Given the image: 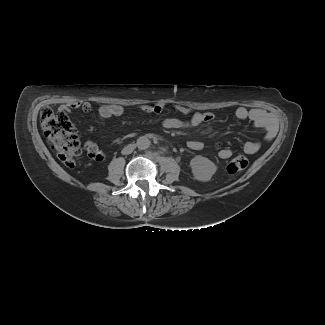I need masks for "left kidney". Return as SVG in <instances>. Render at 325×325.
I'll use <instances>...</instances> for the list:
<instances>
[{"instance_id": "5707ae66", "label": "left kidney", "mask_w": 325, "mask_h": 325, "mask_svg": "<svg viewBox=\"0 0 325 325\" xmlns=\"http://www.w3.org/2000/svg\"><path fill=\"white\" fill-rule=\"evenodd\" d=\"M193 176L201 182H208L217 170V166L208 158L197 155L190 161Z\"/></svg>"}]
</instances>
